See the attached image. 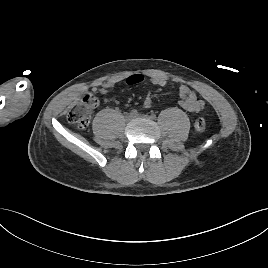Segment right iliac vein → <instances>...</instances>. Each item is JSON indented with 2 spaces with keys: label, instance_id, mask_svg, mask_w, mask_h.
Instances as JSON below:
<instances>
[{
  "label": "right iliac vein",
  "instance_id": "1",
  "mask_svg": "<svg viewBox=\"0 0 268 268\" xmlns=\"http://www.w3.org/2000/svg\"><path fill=\"white\" fill-rule=\"evenodd\" d=\"M125 119H126V121H131V120H133L134 119V116L133 115H131V114H127L126 116H125Z\"/></svg>",
  "mask_w": 268,
  "mask_h": 268
}]
</instances>
